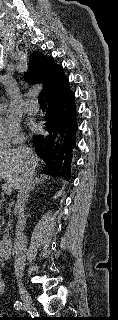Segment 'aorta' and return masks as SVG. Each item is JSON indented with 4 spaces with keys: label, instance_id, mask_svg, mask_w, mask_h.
I'll use <instances>...</instances> for the list:
<instances>
[{
    "label": "aorta",
    "instance_id": "762f6f07",
    "mask_svg": "<svg viewBox=\"0 0 118 320\" xmlns=\"http://www.w3.org/2000/svg\"><path fill=\"white\" fill-rule=\"evenodd\" d=\"M3 107L0 105V111H2Z\"/></svg>",
    "mask_w": 118,
    "mask_h": 320
}]
</instances>
